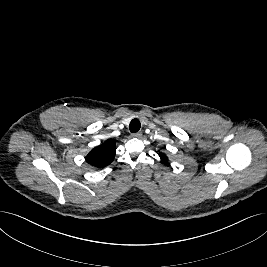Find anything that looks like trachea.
Instances as JSON below:
<instances>
[{
	"label": "trachea",
	"instance_id": "3493384b",
	"mask_svg": "<svg viewBox=\"0 0 267 267\" xmlns=\"http://www.w3.org/2000/svg\"><path fill=\"white\" fill-rule=\"evenodd\" d=\"M140 127H141V124H140V121L138 119H133L131 122H130V126H129V129H130V132L131 133H136L140 130Z\"/></svg>",
	"mask_w": 267,
	"mask_h": 267
}]
</instances>
